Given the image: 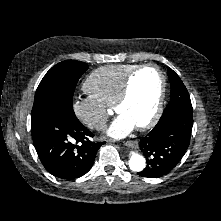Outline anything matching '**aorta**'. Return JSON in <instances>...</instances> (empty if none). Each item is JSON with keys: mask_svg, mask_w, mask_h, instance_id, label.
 Here are the masks:
<instances>
[{"mask_svg": "<svg viewBox=\"0 0 221 221\" xmlns=\"http://www.w3.org/2000/svg\"><path fill=\"white\" fill-rule=\"evenodd\" d=\"M146 162H145V158L136 153V152H132L130 159H129V167L132 171H142L145 168Z\"/></svg>", "mask_w": 221, "mask_h": 221, "instance_id": "1", "label": "aorta"}]
</instances>
